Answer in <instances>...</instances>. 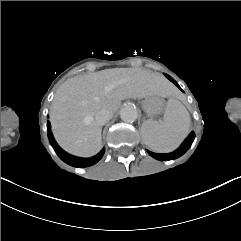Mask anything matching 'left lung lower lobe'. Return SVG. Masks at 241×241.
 <instances>
[{
  "label": "left lung lower lobe",
  "instance_id": "obj_1",
  "mask_svg": "<svg viewBox=\"0 0 241 241\" xmlns=\"http://www.w3.org/2000/svg\"><path fill=\"white\" fill-rule=\"evenodd\" d=\"M166 77L172 81L176 86L179 87V85L173 80V78H171L169 75H166ZM180 88V87H179ZM195 138V134L192 132L189 137L186 139V141L183 143V145L181 146V148H179L178 150H176L173 153H168V154H160V153H154V152H150L148 151L149 155L152 156L153 158L157 159V160H167V159H175L177 157H180L181 155H183L191 146L193 140Z\"/></svg>",
  "mask_w": 241,
  "mask_h": 241
}]
</instances>
